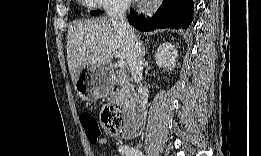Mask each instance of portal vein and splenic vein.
<instances>
[{
    "mask_svg": "<svg viewBox=\"0 0 261 156\" xmlns=\"http://www.w3.org/2000/svg\"><path fill=\"white\" fill-rule=\"evenodd\" d=\"M118 66L120 67V69H124L126 67V62L124 59H120L118 61Z\"/></svg>",
    "mask_w": 261,
    "mask_h": 156,
    "instance_id": "18ae733b",
    "label": "portal vein and splenic vein"
}]
</instances>
